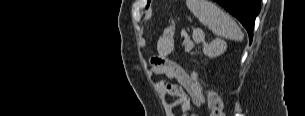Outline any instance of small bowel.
<instances>
[{
	"instance_id": "obj_1",
	"label": "small bowel",
	"mask_w": 305,
	"mask_h": 116,
	"mask_svg": "<svg viewBox=\"0 0 305 116\" xmlns=\"http://www.w3.org/2000/svg\"><path fill=\"white\" fill-rule=\"evenodd\" d=\"M173 40L162 38L158 43V56L152 58V71L155 74H163L170 79H177L179 84L166 81H158V89L166 95L174 97L170 108L180 106L183 116H194L192 105L200 107L204 103L202 88L198 82L196 72L187 74L181 66L169 60L167 56L173 50Z\"/></svg>"
}]
</instances>
